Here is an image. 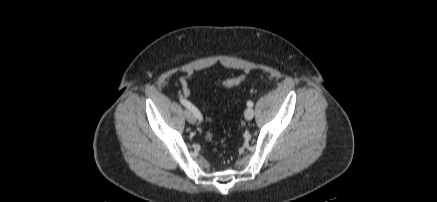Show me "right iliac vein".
Segmentation results:
<instances>
[{"label": "right iliac vein", "instance_id": "obj_1", "mask_svg": "<svg viewBox=\"0 0 437 202\" xmlns=\"http://www.w3.org/2000/svg\"><path fill=\"white\" fill-rule=\"evenodd\" d=\"M185 116L189 123L195 124L196 123V116L194 115L193 111L190 109L185 110Z\"/></svg>", "mask_w": 437, "mask_h": 202}]
</instances>
